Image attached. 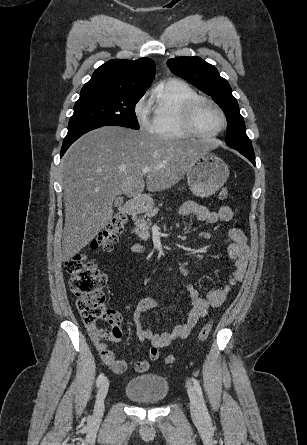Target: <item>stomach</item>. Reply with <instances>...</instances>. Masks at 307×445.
<instances>
[{"mask_svg":"<svg viewBox=\"0 0 307 445\" xmlns=\"http://www.w3.org/2000/svg\"><path fill=\"white\" fill-rule=\"evenodd\" d=\"M186 176L192 194L204 198L220 190L229 176V166L217 154L202 152L194 162H191Z\"/></svg>","mask_w":307,"mask_h":445,"instance_id":"obj_1","label":"stomach"}]
</instances>
